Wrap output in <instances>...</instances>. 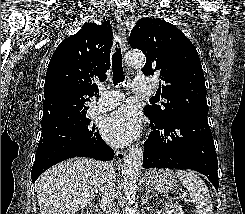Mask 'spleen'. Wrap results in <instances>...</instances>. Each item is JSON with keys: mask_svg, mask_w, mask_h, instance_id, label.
I'll list each match as a JSON object with an SVG mask.
<instances>
[{"mask_svg": "<svg viewBox=\"0 0 245 214\" xmlns=\"http://www.w3.org/2000/svg\"><path fill=\"white\" fill-rule=\"evenodd\" d=\"M175 175L189 192L190 197L196 205L197 214H213L212 200L208 187L204 181L188 170H177Z\"/></svg>", "mask_w": 245, "mask_h": 214, "instance_id": "1", "label": "spleen"}]
</instances>
